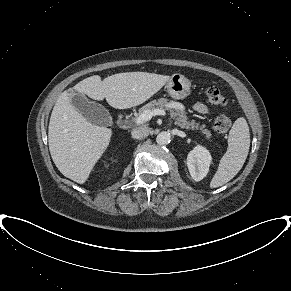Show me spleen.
<instances>
[{
  "label": "spleen",
  "mask_w": 291,
  "mask_h": 291,
  "mask_svg": "<svg viewBox=\"0 0 291 291\" xmlns=\"http://www.w3.org/2000/svg\"><path fill=\"white\" fill-rule=\"evenodd\" d=\"M250 147V133L246 120L238 118L228 135V148L220 160L210 187L217 188L229 182L241 170Z\"/></svg>",
  "instance_id": "3e777b00"
}]
</instances>
